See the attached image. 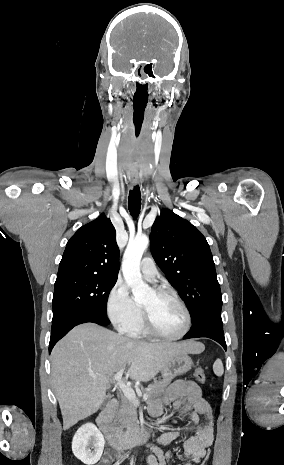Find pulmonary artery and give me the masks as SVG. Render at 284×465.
Returning <instances> with one entry per match:
<instances>
[{
  "label": "pulmonary artery",
  "instance_id": "pulmonary-artery-1",
  "mask_svg": "<svg viewBox=\"0 0 284 465\" xmlns=\"http://www.w3.org/2000/svg\"><path fill=\"white\" fill-rule=\"evenodd\" d=\"M152 257L147 255L140 265V272L144 279L150 282H156L159 275L156 265L150 262Z\"/></svg>",
  "mask_w": 284,
  "mask_h": 465
}]
</instances>
